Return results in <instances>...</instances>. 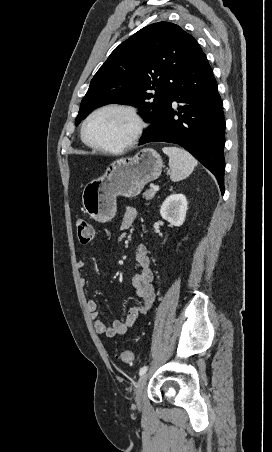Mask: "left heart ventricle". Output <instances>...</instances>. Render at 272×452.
Here are the masks:
<instances>
[{
    "mask_svg": "<svg viewBox=\"0 0 272 452\" xmlns=\"http://www.w3.org/2000/svg\"><path fill=\"white\" fill-rule=\"evenodd\" d=\"M134 130L131 117L117 110H108L97 114L88 124L89 138L102 145L119 146L125 143Z\"/></svg>",
    "mask_w": 272,
    "mask_h": 452,
    "instance_id": "1",
    "label": "left heart ventricle"
}]
</instances>
